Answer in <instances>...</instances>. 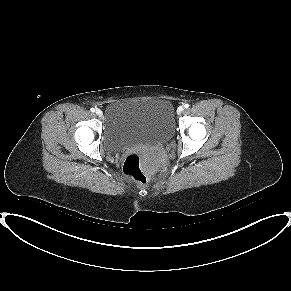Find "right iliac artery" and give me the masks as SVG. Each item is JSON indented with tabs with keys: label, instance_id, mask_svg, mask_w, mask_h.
<instances>
[{
	"label": "right iliac artery",
	"instance_id": "right-iliac-artery-1",
	"mask_svg": "<svg viewBox=\"0 0 291 291\" xmlns=\"http://www.w3.org/2000/svg\"><path fill=\"white\" fill-rule=\"evenodd\" d=\"M90 110H91V112H95V108H91Z\"/></svg>",
	"mask_w": 291,
	"mask_h": 291
}]
</instances>
